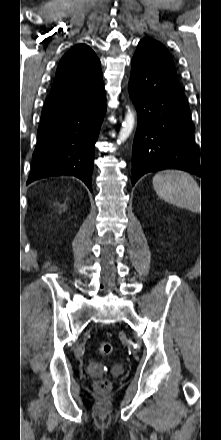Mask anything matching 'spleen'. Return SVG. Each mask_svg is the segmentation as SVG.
<instances>
[{"instance_id":"obj_1","label":"spleen","mask_w":221,"mask_h":440,"mask_svg":"<svg viewBox=\"0 0 221 440\" xmlns=\"http://www.w3.org/2000/svg\"><path fill=\"white\" fill-rule=\"evenodd\" d=\"M153 187L168 203L193 212L200 210V187L189 173L179 170L158 172L153 177Z\"/></svg>"}]
</instances>
